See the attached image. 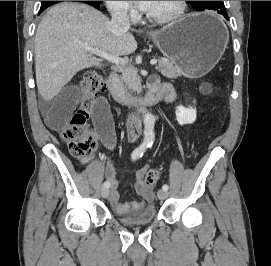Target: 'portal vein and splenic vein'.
<instances>
[{
	"instance_id": "1",
	"label": "portal vein and splenic vein",
	"mask_w": 271,
	"mask_h": 266,
	"mask_svg": "<svg viewBox=\"0 0 271 266\" xmlns=\"http://www.w3.org/2000/svg\"><path fill=\"white\" fill-rule=\"evenodd\" d=\"M86 51L92 53V54H96L97 56L101 57V58H104L110 62H113V63H116V64H126L127 61L123 58H120L118 56H113V55H110L102 50H99L97 48H94V47H90L88 45H83L82 46ZM150 64L151 65H156L157 64V60L153 59L150 61Z\"/></svg>"
}]
</instances>
